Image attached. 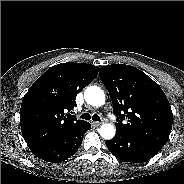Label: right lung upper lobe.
I'll return each mask as SVG.
<instances>
[{
  "label": "right lung upper lobe",
  "instance_id": "1",
  "mask_svg": "<svg viewBox=\"0 0 184 184\" xmlns=\"http://www.w3.org/2000/svg\"><path fill=\"white\" fill-rule=\"evenodd\" d=\"M98 70L91 64L61 63L34 82L20 109L21 131L29 147L69 136L88 124L68 112L76 106V95L96 78Z\"/></svg>",
  "mask_w": 184,
  "mask_h": 184
}]
</instances>
